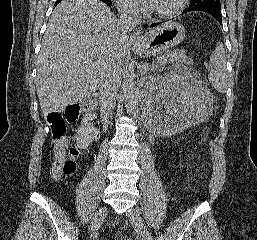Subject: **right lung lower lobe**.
Wrapping results in <instances>:
<instances>
[{"label":"right lung lower lobe","mask_w":257,"mask_h":240,"mask_svg":"<svg viewBox=\"0 0 257 240\" xmlns=\"http://www.w3.org/2000/svg\"><path fill=\"white\" fill-rule=\"evenodd\" d=\"M103 2H105L108 6H112V3H111V1L110 2H107V1H104V0H102Z\"/></svg>","instance_id":"obj_1"}]
</instances>
